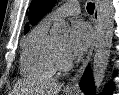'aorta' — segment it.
<instances>
[{
  "mask_svg": "<svg viewBox=\"0 0 119 95\" xmlns=\"http://www.w3.org/2000/svg\"><path fill=\"white\" fill-rule=\"evenodd\" d=\"M98 4L99 15L92 69L96 94L101 90L109 63L114 27V7L112 0H98ZM53 31L57 35L66 36L69 31V25L63 19L58 20L54 23Z\"/></svg>",
  "mask_w": 119,
  "mask_h": 95,
  "instance_id": "1",
  "label": "aorta"
}]
</instances>
